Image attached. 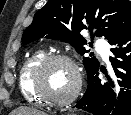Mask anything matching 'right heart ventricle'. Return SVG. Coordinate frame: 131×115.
<instances>
[{
	"label": "right heart ventricle",
	"mask_w": 131,
	"mask_h": 115,
	"mask_svg": "<svg viewBox=\"0 0 131 115\" xmlns=\"http://www.w3.org/2000/svg\"><path fill=\"white\" fill-rule=\"evenodd\" d=\"M45 56L42 50H37L27 56L23 61L18 75L19 90L24 100L30 104L39 106L43 101L35 94L31 86L32 73L35 66Z\"/></svg>",
	"instance_id": "right-heart-ventricle-1"
}]
</instances>
